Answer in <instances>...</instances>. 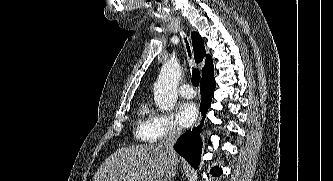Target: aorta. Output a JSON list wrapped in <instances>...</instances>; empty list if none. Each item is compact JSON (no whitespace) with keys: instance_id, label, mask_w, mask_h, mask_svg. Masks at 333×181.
Returning a JSON list of instances; mask_svg holds the SVG:
<instances>
[{"instance_id":"obj_1","label":"aorta","mask_w":333,"mask_h":181,"mask_svg":"<svg viewBox=\"0 0 333 181\" xmlns=\"http://www.w3.org/2000/svg\"><path fill=\"white\" fill-rule=\"evenodd\" d=\"M180 77L181 69L177 60L170 59L162 66L154 85V100L160 110L168 111L175 106Z\"/></svg>"}]
</instances>
